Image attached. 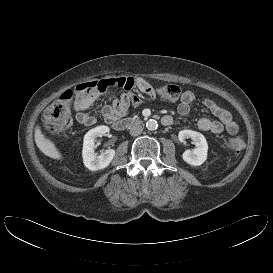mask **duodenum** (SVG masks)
<instances>
[{
  "label": "duodenum",
  "instance_id": "obj_1",
  "mask_svg": "<svg viewBox=\"0 0 273 273\" xmlns=\"http://www.w3.org/2000/svg\"><path fill=\"white\" fill-rule=\"evenodd\" d=\"M142 123V120L139 118H124V119H114L110 122L112 127L116 130H125L132 126H137ZM161 123L163 125H170V120L168 118L163 117L161 119Z\"/></svg>",
  "mask_w": 273,
  "mask_h": 273
}]
</instances>
